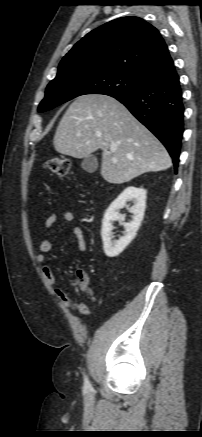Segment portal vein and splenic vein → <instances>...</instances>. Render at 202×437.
<instances>
[{
    "label": "portal vein and splenic vein",
    "mask_w": 202,
    "mask_h": 437,
    "mask_svg": "<svg viewBox=\"0 0 202 437\" xmlns=\"http://www.w3.org/2000/svg\"><path fill=\"white\" fill-rule=\"evenodd\" d=\"M110 150H111V152H114V151H115V148H114V147H111Z\"/></svg>",
    "instance_id": "18ae733b"
}]
</instances>
